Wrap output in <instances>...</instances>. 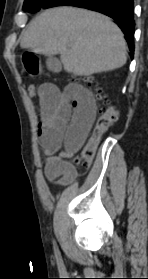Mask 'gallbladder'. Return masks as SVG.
Returning a JSON list of instances; mask_svg holds the SVG:
<instances>
[{
	"label": "gallbladder",
	"instance_id": "gallbladder-1",
	"mask_svg": "<svg viewBox=\"0 0 148 279\" xmlns=\"http://www.w3.org/2000/svg\"><path fill=\"white\" fill-rule=\"evenodd\" d=\"M46 67L49 71L54 73H59L62 70L61 62L53 56L47 58Z\"/></svg>",
	"mask_w": 148,
	"mask_h": 279
}]
</instances>
